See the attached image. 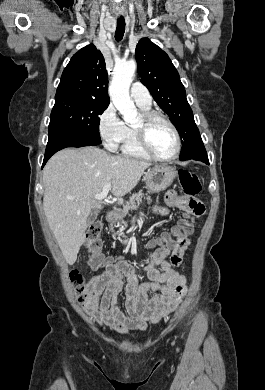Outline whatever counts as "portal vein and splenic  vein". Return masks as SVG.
I'll use <instances>...</instances> for the list:
<instances>
[{
	"label": "portal vein and splenic vein",
	"instance_id": "18ae733b",
	"mask_svg": "<svg viewBox=\"0 0 265 390\" xmlns=\"http://www.w3.org/2000/svg\"><path fill=\"white\" fill-rule=\"evenodd\" d=\"M110 190H111V183L109 182V183H106L104 185V188H103V190H102V192L100 194H96L95 195V199L96 200H102V199L106 198L107 195H108V192ZM68 199L73 200V198H71V197H69Z\"/></svg>",
	"mask_w": 265,
	"mask_h": 390
}]
</instances>
